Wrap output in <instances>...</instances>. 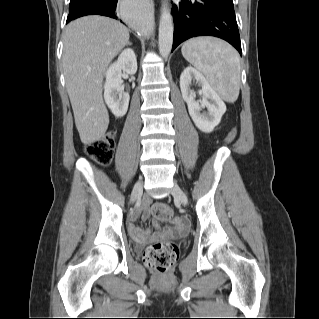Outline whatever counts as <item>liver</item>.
Returning a JSON list of instances; mask_svg holds the SVG:
<instances>
[{
    "label": "liver",
    "instance_id": "liver-1",
    "mask_svg": "<svg viewBox=\"0 0 319 319\" xmlns=\"http://www.w3.org/2000/svg\"><path fill=\"white\" fill-rule=\"evenodd\" d=\"M128 42L127 27L109 17L85 16L66 27L63 70L76 128L84 144L99 140L108 128L109 114L102 96L103 76Z\"/></svg>",
    "mask_w": 319,
    "mask_h": 319
}]
</instances>
